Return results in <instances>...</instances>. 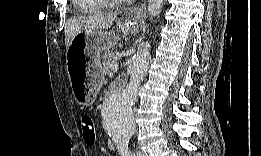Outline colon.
I'll list each match as a JSON object with an SVG mask.
<instances>
[{"label":"colon","instance_id":"colon-1","mask_svg":"<svg viewBox=\"0 0 261 156\" xmlns=\"http://www.w3.org/2000/svg\"><path fill=\"white\" fill-rule=\"evenodd\" d=\"M80 126L83 133V139L89 146L94 145L96 142V123L92 115L84 113L80 117Z\"/></svg>","mask_w":261,"mask_h":156}]
</instances>
